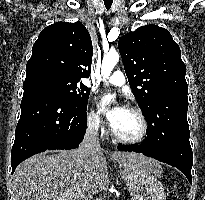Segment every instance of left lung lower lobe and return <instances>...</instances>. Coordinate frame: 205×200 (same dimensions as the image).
<instances>
[{"instance_id":"0a47b994","label":"left lung lower lobe","mask_w":205,"mask_h":200,"mask_svg":"<svg viewBox=\"0 0 205 200\" xmlns=\"http://www.w3.org/2000/svg\"><path fill=\"white\" fill-rule=\"evenodd\" d=\"M187 94L185 91H178L158 97L155 110L159 113L166 111L164 117L156 118L155 124L148 129L147 137L141 144L117 148L120 151L143 153L172 165L181 170L192 184L193 153L189 142Z\"/></svg>"}]
</instances>
